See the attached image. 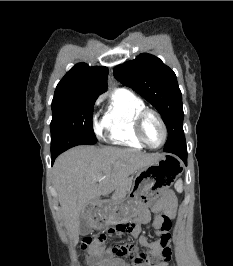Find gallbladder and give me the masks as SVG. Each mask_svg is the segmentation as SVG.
Returning a JSON list of instances; mask_svg holds the SVG:
<instances>
[{
	"label": "gallbladder",
	"instance_id": "1",
	"mask_svg": "<svg viewBox=\"0 0 233 266\" xmlns=\"http://www.w3.org/2000/svg\"><path fill=\"white\" fill-rule=\"evenodd\" d=\"M92 231V226L89 223V220L85 216H81L79 219V233L82 236L89 234Z\"/></svg>",
	"mask_w": 233,
	"mask_h": 266
}]
</instances>
